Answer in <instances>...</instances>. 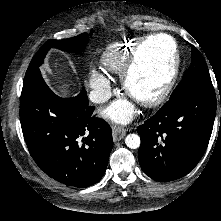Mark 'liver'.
<instances>
[{"label": "liver", "mask_w": 221, "mask_h": 221, "mask_svg": "<svg viewBox=\"0 0 221 221\" xmlns=\"http://www.w3.org/2000/svg\"><path fill=\"white\" fill-rule=\"evenodd\" d=\"M57 92L59 93L60 96L66 97L70 95V91L68 89V85L64 84L61 87L57 89Z\"/></svg>", "instance_id": "1"}]
</instances>
